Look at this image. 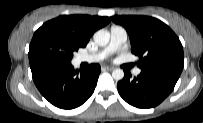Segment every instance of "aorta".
Listing matches in <instances>:
<instances>
[{
	"label": "aorta",
	"mask_w": 203,
	"mask_h": 123,
	"mask_svg": "<svg viewBox=\"0 0 203 123\" xmlns=\"http://www.w3.org/2000/svg\"><path fill=\"white\" fill-rule=\"evenodd\" d=\"M93 39L99 46H106L110 40V33L107 30L101 29L94 33ZM112 77L116 80H122L124 77V71L120 68L114 69Z\"/></svg>",
	"instance_id": "762f6f07"
}]
</instances>
